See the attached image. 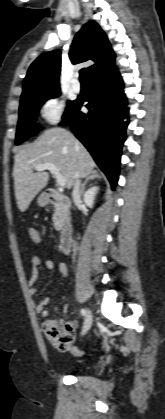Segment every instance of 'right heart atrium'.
Segmentation results:
<instances>
[{
  "instance_id": "obj_1",
  "label": "right heart atrium",
  "mask_w": 165,
  "mask_h": 419,
  "mask_svg": "<svg viewBox=\"0 0 165 419\" xmlns=\"http://www.w3.org/2000/svg\"><path fill=\"white\" fill-rule=\"evenodd\" d=\"M65 114V101L59 95H52L46 98L40 108V115L43 121L49 125L58 124Z\"/></svg>"
}]
</instances>
